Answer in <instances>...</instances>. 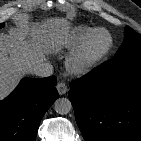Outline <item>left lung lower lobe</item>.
Listing matches in <instances>:
<instances>
[{
    "instance_id": "obj_1",
    "label": "left lung lower lobe",
    "mask_w": 141,
    "mask_h": 141,
    "mask_svg": "<svg viewBox=\"0 0 141 141\" xmlns=\"http://www.w3.org/2000/svg\"><path fill=\"white\" fill-rule=\"evenodd\" d=\"M70 87L86 141H141V54L108 61Z\"/></svg>"
}]
</instances>
